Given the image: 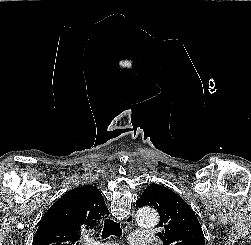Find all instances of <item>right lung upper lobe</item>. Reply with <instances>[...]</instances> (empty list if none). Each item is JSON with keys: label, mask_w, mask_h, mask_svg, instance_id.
Masks as SVG:
<instances>
[{"label": "right lung upper lobe", "mask_w": 251, "mask_h": 245, "mask_svg": "<svg viewBox=\"0 0 251 245\" xmlns=\"http://www.w3.org/2000/svg\"><path fill=\"white\" fill-rule=\"evenodd\" d=\"M107 211L96 187L74 188L47 210L32 245H78L81 231L98 225Z\"/></svg>", "instance_id": "right-lung-upper-lobe-1"}]
</instances>
